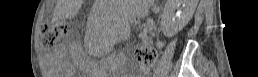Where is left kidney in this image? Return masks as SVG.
I'll return each instance as SVG.
<instances>
[{
    "label": "left kidney",
    "instance_id": "left-kidney-1",
    "mask_svg": "<svg viewBox=\"0 0 258 77\" xmlns=\"http://www.w3.org/2000/svg\"><path fill=\"white\" fill-rule=\"evenodd\" d=\"M176 2H179V0H176ZM185 2H186V7L183 10L181 16L177 20L172 19L173 23L179 24V27L186 25L190 21V19L194 14L198 0H185ZM173 17H174V14H173Z\"/></svg>",
    "mask_w": 258,
    "mask_h": 77
}]
</instances>
